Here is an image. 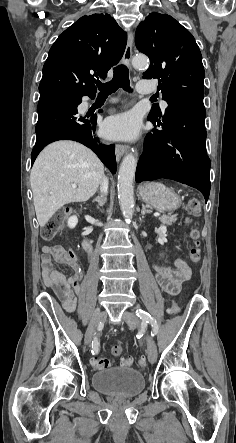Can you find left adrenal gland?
I'll use <instances>...</instances> for the list:
<instances>
[{
    "label": "left adrenal gland",
    "instance_id": "obj_1",
    "mask_svg": "<svg viewBox=\"0 0 236 443\" xmlns=\"http://www.w3.org/2000/svg\"><path fill=\"white\" fill-rule=\"evenodd\" d=\"M145 214H150V211L147 210L144 205H142L141 215L144 216Z\"/></svg>",
    "mask_w": 236,
    "mask_h": 443
}]
</instances>
